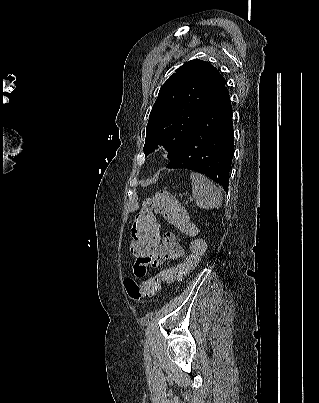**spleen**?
Instances as JSON below:
<instances>
[{"mask_svg": "<svg viewBox=\"0 0 319 403\" xmlns=\"http://www.w3.org/2000/svg\"><path fill=\"white\" fill-rule=\"evenodd\" d=\"M192 195L200 208H220L222 204V192L204 175L191 172Z\"/></svg>", "mask_w": 319, "mask_h": 403, "instance_id": "spleen-1", "label": "spleen"}]
</instances>
